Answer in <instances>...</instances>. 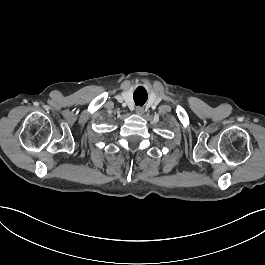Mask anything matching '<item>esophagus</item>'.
<instances>
[{"label": "esophagus", "mask_w": 265, "mask_h": 265, "mask_svg": "<svg viewBox=\"0 0 265 265\" xmlns=\"http://www.w3.org/2000/svg\"><path fill=\"white\" fill-rule=\"evenodd\" d=\"M143 112H144L143 108H141V107H137V108H136V113H137L138 115H142Z\"/></svg>", "instance_id": "1"}]
</instances>
